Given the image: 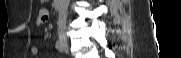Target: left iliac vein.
Returning a JSON list of instances; mask_svg holds the SVG:
<instances>
[{
	"label": "left iliac vein",
	"instance_id": "4c4485c4",
	"mask_svg": "<svg viewBox=\"0 0 181 58\" xmlns=\"http://www.w3.org/2000/svg\"><path fill=\"white\" fill-rule=\"evenodd\" d=\"M66 52H68V48L66 47Z\"/></svg>",
	"mask_w": 181,
	"mask_h": 58
}]
</instances>
